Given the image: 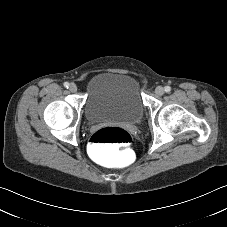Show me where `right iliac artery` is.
<instances>
[{
    "instance_id": "1",
    "label": "right iliac artery",
    "mask_w": 227,
    "mask_h": 227,
    "mask_svg": "<svg viewBox=\"0 0 227 227\" xmlns=\"http://www.w3.org/2000/svg\"><path fill=\"white\" fill-rule=\"evenodd\" d=\"M64 87H65V88H69V83H68V82H65V83H64Z\"/></svg>"
}]
</instances>
